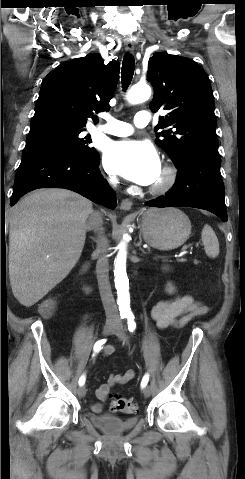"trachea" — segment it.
<instances>
[{
  "label": "trachea",
  "instance_id": "obj_1",
  "mask_svg": "<svg viewBox=\"0 0 245 479\" xmlns=\"http://www.w3.org/2000/svg\"><path fill=\"white\" fill-rule=\"evenodd\" d=\"M134 69H135V61L133 56L130 54H126L122 62V70H121V79H122V84L124 89H126L130 85L134 75Z\"/></svg>",
  "mask_w": 245,
  "mask_h": 479
}]
</instances>
